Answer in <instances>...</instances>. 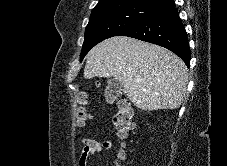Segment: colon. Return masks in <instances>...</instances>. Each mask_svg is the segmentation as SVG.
I'll return each mask as SVG.
<instances>
[{"instance_id": "colon-1", "label": "colon", "mask_w": 227, "mask_h": 166, "mask_svg": "<svg viewBox=\"0 0 227 166\" xmlns=\"http://www.w3.org/2000/svg\"><path fill=\"white\" fill-rule=\"evenodd\" d=\"M90 118L91 115L88 109V98L85 94H83L80 97V107L77 114V126L79 128H84ZM113 122L118 137L121 140H125L133 127V110L131 104L127 100L121 99L118 102ZM124 154V149H120L118 151L119 158H123Z\"/></svg>"}]
</instances>
